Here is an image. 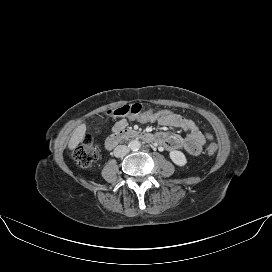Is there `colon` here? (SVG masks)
I'll return each instance as SVG.
<instances>
[{
	"mask_svg": "<svg viewBox=\"0 0 272 272\" xmlns=\"http://www.w3.org/2000/svg\"><path fill=\"white\" fill-rule=\"evenodd\" d=\"M108 114L116 118H130L143 122H154L165 115L174 114L169 110L147 109L144 110L140 104H127L110 110ZM217 151L216 144L207 147V153L213 155ZM100 152L99 145L91 136H85L73 153L76 163L83 168L89 167L98 158Z\"/></svg>",
	"mask_w": 272,
	"mask_h": 272,
	"instance_id": "5ec220e1",
	"label": "colon"
}]
</instances>
